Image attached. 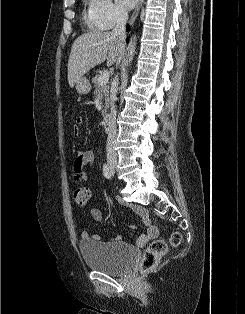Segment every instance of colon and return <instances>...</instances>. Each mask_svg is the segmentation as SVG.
Instances as JSON below:
<instances>
[{
    "label": "colon",
    "instance_id": "1",
    "mask_svg": "<svg viewBox=\"0 0 245 314\" xmlns=\"http://www.w3.org/2000/svg\"><path fill=\"white\" fill-rule=\"evenodd\" d=\"M73 199L79 206H86L90 200V191L87 187H78L73 191ZM181 242V235L173 233L169 244L177 246ZM168 251V243L164 240H155L146 248L140 264L141 271L146 272L154 268Z\"/></svg>",
    "mask_w": 245,
    "mask_h": 314
}]
</instances>
